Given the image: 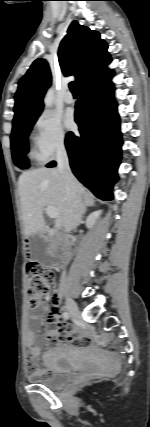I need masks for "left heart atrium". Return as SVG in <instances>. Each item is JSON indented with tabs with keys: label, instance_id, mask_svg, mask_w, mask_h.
Masks as SVG:
<instances>
[{
	"label": "left heart atrium",
	"instance_id": "left-heart-atrium-1",
	"mask_svg": "<svg viewBox=\"0 0 150 427\" xmlns=\"http://www.w3.org/2000/svg\"><path fill=\"white\" fill-rule=\"evenodd\" d=\"M64 123H65V126H66L68 129H72V128H74L75 123H74L73 115H72V114H70V113L66 114V116H65V118H64Z\"/></svg>",
	"mask_w": 150,
	"mask_h": 427
}]
</instances>
